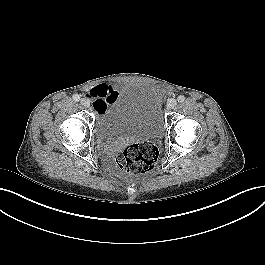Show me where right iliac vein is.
Listing matches in <instances>:
<instances>
[{
  "label": "right iliac vein",
  "instance_id": "63e3f726",
  "mask_svg": "<svg viewBox=\"0 0 265 265\" xmlns=\"http://www.w3.org/2000/svg\"><path fill=\"white\" fill-rule=\"evenodd\" d=\"M80 103L86 108L90 107V101L86 98L81 99Z\"/></svg>",
  "mask_w": 265,
  "mask_h": 265
}]
</instances>
